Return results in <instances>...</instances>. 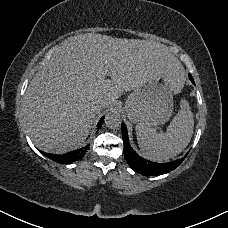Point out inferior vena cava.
<instances>
[{
  "label": "inferior vena cava",
  "mask_w": 228,
  "mask_h": 228,
  "mask_svg": "<svg viewBox=\"0 0 228 228\" xmlns=\"http://www.w3.org/2000/svg\"><path fill=\"white\" fill-rule=\"evenodd\" d=\"M94 103H95V108H96L97 110H101V109H102V104L100 103L99 100H98V101H95Z\"/></svg>",
  "instance_id": "obj_1"
}]
</instances>
